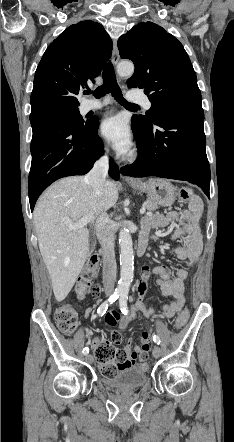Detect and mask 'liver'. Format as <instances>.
I'll use <instances>...</instances> for the list:
<instances>
[{"label": "liver", "mask_w": 234, "mask_h": 442, "mask_svg": "<svg viewBox=\"0 0 234 442\" xmlns=\"http://www.w3.org/2000/svg\"><path fill=\"white\" fill-rule=\"evenodd\" d=\"M118 189L114 182L105 181L99 193L85 181V177L63 178L51 185L38 200L34 209L39 249L50 274L54 296L61 302L71 291L86 261L89 230L70 229L75 223L91 215L96 217L116 204Z\"/></svg>", "instance_id": "obj_1"}]
</instances>
